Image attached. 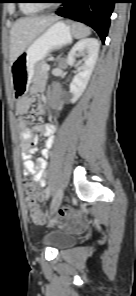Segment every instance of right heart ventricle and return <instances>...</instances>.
Masks as SVG:
<instances>
[{"label":"right heart ventricle","instance_id":"right-heart-ventricle-1","mask_svg":"<svg viewBox=\"0 0 136 296\" xmlns=\"http://www.w3.org/2000/svg\"><path fill=\"white\" fill-rule=\"evenodd\" d=\"M20 9L22 13L31 15L39 12L40 7L33 3V0H22V3L20 4Z\"/></svg>","mask_w":136,"mask_h":296}]
</instances>
